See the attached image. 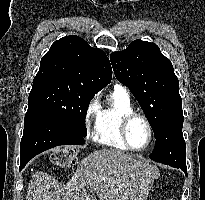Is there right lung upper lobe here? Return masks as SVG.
Returning <instances> with one entry per match:
<instances>
[{
  "label": "right lung upper lobe",
  "instance_id": "1",
  "mask_svg": "<svg viewBox=\"0 0 205 200\" xmlns=\"http://www.w3.org/2000/svg\"><path fill=\"white\" fill-rule=\"evenodd\" d=\"M112 68L106 54L78 36L55 41L40 62L34 80L59 79L94 93L110 83Z\"/></svg>",
  "mask_w": 205,
  "mask_h": 200
}]
</instances>
